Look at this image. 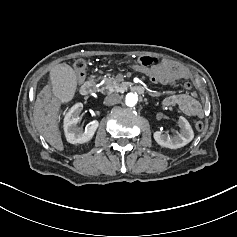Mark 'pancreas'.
Returning a JSON list of instances; mask_svg holds the SVG:
<instances>
[{"instance_id": "1", "label": "pancreas", "mask_w": 237, "mask_h": 237, "mask_svg": "<svg viewBox=\"0 0 237 237\" xmlns=\"http://www.w3.org/2000/svg\"><path fill=\"white\" fill-rule=\"evenodd\" d=\"M115 85H116V83L114 82L113 78L108 79L105 87L101 88L100 91L101 92H105V91H107V92H111L112 91L113 92Z\"/></svg>"}]
</instances>
